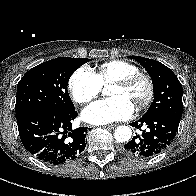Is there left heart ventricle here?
I'll return each instance as SVG.
<instances>
[{"label":"left heart ventricle","instance_id":"obj_1","mask_svg":"<svg viewBox=\"0 0 196 196\" xmlns=\"http://www.w3.org/2000/svg\"><path fill=\"white\" fill-rule=\"evenodd\" d=\"M146 85L143 81H139L131 87L124 88L117 85H111L108 91L110 97H124L134 107L140 103L146 96Z\"/></svg>","mask_w":196,"mask_h":196}]
</instances>
